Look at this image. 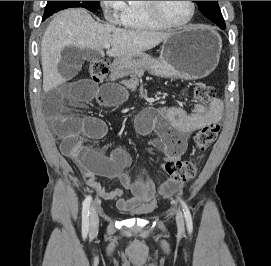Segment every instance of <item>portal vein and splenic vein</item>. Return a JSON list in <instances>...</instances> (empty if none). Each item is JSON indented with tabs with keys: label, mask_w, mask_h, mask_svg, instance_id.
<instances>
[{
	"label": "portal vein and splenic vein",
	"mask_w": 271,
	"mask_h": 266,
	"mask_svg": "<svg viewBox=\"0 0 271 266\" xmlns=\"http://www.w3.org/2000/svg\"><path fill=\"white\" fill-rule=\"evenodd\" d=\"M103 47L106 48V49H109L111 47V45L110 44H104Z\"/></svg>",
	"instance_id": "1"
}]
</instances>
